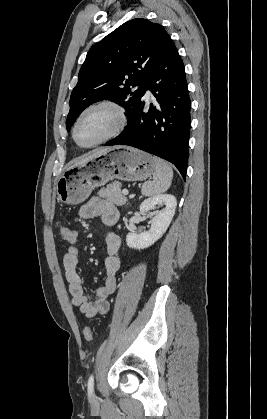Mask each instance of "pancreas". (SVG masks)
<instances>
[{
	"label": "pancreas",
	"instance_id": "obj_1",
	"mask_svg": "<svg viewBox=\"0 0 267 419\" xmlns=\"http://www.w3.org/2000/svg\"><path fill=\"white\" fill-rule=\"evenodd\" d=\"M98 195L116 206H123L127 201L126 196L121 193V184L118 181L112 182L100 189Z\"/></svg>",
	"mask_w": 267,
	"mask_h": 419
}]
</instances>
